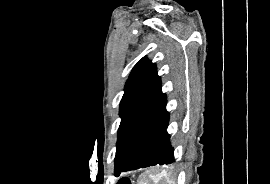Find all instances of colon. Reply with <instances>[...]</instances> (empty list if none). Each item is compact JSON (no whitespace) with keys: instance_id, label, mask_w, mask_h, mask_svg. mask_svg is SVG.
<instances>
[{"instance_id":"obj_1","label":"colon","mask_w":270,"mask_h":184,"mask_svg":"<svg viewBox=\"0 0 270 184\" xmlns=\"http://www.w3.org/2000/svg\"><path fill=\"white\" fill-rule=\"evenodd\" d=\"M118 184H132V182L128 178H122Z\"/></svg>"}]
</instances>
